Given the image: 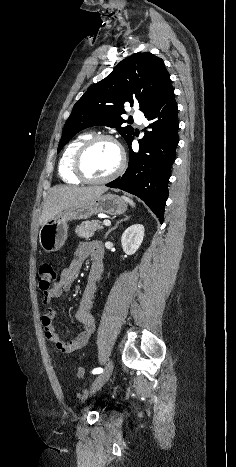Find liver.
<instances>
[{
  "mask_svg": "<svg viewBox=\"0 0 236 467\" xmlns=\"http://www.w3.org/2000/svg\"><path fill=\"white\" fill-rule=\"evenodd\" d=\"M107 188L104 186L94 187H75V186H55L53 187L46 201L43 204L42 215L40 219L41 226H44L49 220L54 218L64 209L72 206L89 203L104 192Z\"/></svg>",
  "mask_w": 236,
  "mask_h": 467,
  "instance_id": "obj_1",
  "label": "liver"
}]
</instances>
